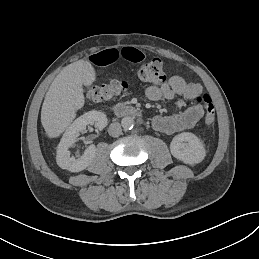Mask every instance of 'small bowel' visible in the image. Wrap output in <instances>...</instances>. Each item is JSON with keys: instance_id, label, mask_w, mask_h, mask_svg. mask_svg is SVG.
Segmentation results:
<instances>
[{"instance_id": "obj_1", "label": "small bowel", "mask_w": 259, "mask_h": 259, "mask_svg": "<svg viewBox=\"0 0 259 259\" xmlns=\"http://www.w3.org/2000/svg\"><path fill=\"white\" fill-rule=\"evenodd\" d=\"M119 58L140 62L145 58V53L134 47H124L121 50L106 49L91 55L90 62L94 66H107ZM146 95L152 101L171 100L177 96L186 100H197L202 95V86L198 83L187 82L180 76L172 75L165 78L161 85L148 87ZM204 114V106L198 103L177 114L157 115L153 118L152 125L156 131L171 135L194 127Z\"/></svg>"}]
</instances>
